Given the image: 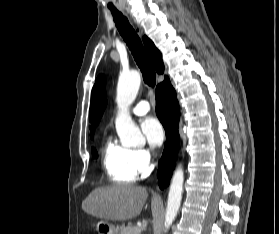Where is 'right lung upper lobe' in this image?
I'll use <instances>...</instances> for the list:
<instances>
[{
	"instance_id": "1",
	"label": "right lung upper lobe",
	"mask_w": 279,
	"mask_h": 234,
	"mask_svg": "<svg viewBox=\"0 0 279 234\" xmlns=\"http://www.w3.org/2000/svg\"><path fill=\"white\" fill-rule=\"evenodd\" d=\"M144 45L147 49V52L155 66L157 73L162 74L164 71V64L162 61V56L160 51L155 47L154 43L147 38L146 36L143 37ZM167 77L165 76V79Z\"/></svg>"
}]
</instances>
